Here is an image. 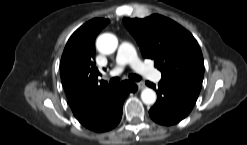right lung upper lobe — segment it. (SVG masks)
<instances>
[{
  "label": "right lung upper lobe",
  "instance_id": "1",
  "mask_svg": "<svg viewBox=\"0 0 247 145\" xmlns=\"http://www.w3.org/2000/svg\"><path fill=\"white\" fill-rule=\"evenodd\" d=\"M108 23V19L100 18L85 23L72 34L63 51L61 80L75 116L113 88L104 81L98 84L100 72L94 63L95 38Z\"/></svg>",
  "mask_w": 247,
  "mask_h": 145
}]
</instances>
